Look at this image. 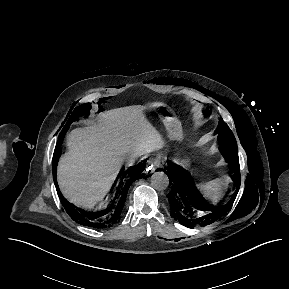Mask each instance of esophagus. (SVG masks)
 <instances>
[{
  "label": "esophagus",
  "mask_w": 289,
  "mask_h": 289,
  "mask_svg": "<svg viewBox=\"0 0 289 289\" xmlns=\"http://www.w3.org/2000/svg\"><path fill=\"white\" fill-rule=\"evenodd\" d=\"M161 166V160L158 156L150 157L146 162L147 171L155 172Z\"/></svg>",
  "instance_id": "obj_1"
}]
</instances>
